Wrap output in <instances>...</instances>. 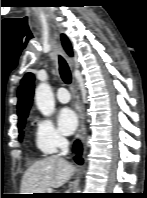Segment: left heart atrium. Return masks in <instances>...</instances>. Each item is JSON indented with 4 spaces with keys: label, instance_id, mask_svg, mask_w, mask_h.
Here are the masks:
<instances>
[{
    "label": "left heart atrium",
    "instance_id": "39dd6f15",
    "mask_svg": "<svg viewBox=\"0 0 147 198\" xmlns=\"http://www.w3.org/2000/svg\"><path fill=\"white\" fill-rule=\"evenodd\" d=\"M78 125L77 114L71 108H63L58 113V126L62 134L71 135Z\"/></svg>",
    "mask_w": 147,
    "mask_h": 198
}]
</instances>
